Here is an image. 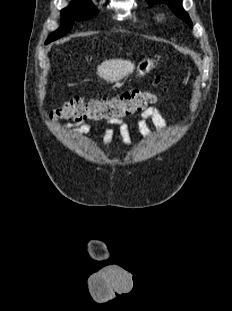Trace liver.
<instances>
[{
    "label": "liver",
    "instance_id": "obj_1",
    "mask_svg": "<svg viewBox=\"0 0 232 311\" xmlns=\"http://www.w3.org/2000/svg\"><path fill=\"white\" fill-rule=\"evenodd\" d=\"M134 69V63L129 60L112 59L97 67V75L108 82H118L132 74Z\"/></svg>",
    "mask_w": 232,
    "mask_h": 311
}]
</instances>
